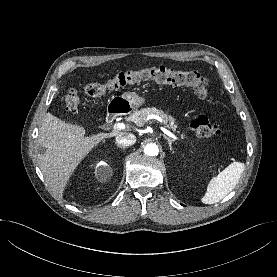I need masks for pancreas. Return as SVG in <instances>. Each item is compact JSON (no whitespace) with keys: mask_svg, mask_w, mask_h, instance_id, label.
<instances>
[{"mask_svg":"<svg viewBox=\"0 0 277 277\" xmlns=\"http://www.w3.org/2000/svg\"><path fill=\"white\" fill-rule=\"evenodd\" d=\"M157 115L159 116L163 123L174 132H177V125L175 124V120L172 116L164 113L162 110H158L156 108H143L140 110H136L131 115V120L134 122L137 126L141 127L144 125L145 119L148 115Z\"/></svg>","mask_w":277,"mask_h":277,"instance_id":"1","label":"pancreas"}]
</instances>
